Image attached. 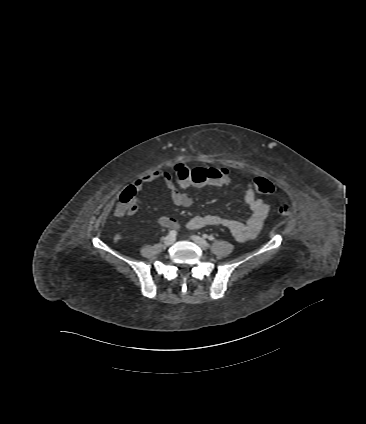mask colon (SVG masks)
Listing matches in <instances>:
<instances>
[{"mask_svg": "<svg viewBox=\"0 0 366 424\" xmlns=\"http://www.w3.org/2000/svg\"><path fill=\"white\" fill-rule=\"evenodd\" d=\"M222 172L225 175L228 174L225 170ZM174 173L182 186L203 187L212 184L217 178H220L214 167L193 168L182 163L175 166ZM254 184L256 191L262 194H273L276 191L275 186L271 182L261 177L256 178ZM135 192L134 188H128L121 194L115 210L116 215H131L136 211ZM278 212L281 215H289L291 207L287 203H281L278 206Z\"/></svg>", "mask_w": 366, "mask_h": 424, "instance_id": "5ec220e1", "label": "colon"}]
</instances>
